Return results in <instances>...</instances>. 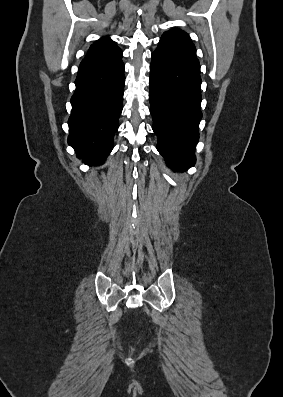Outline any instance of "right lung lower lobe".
I'll use <instances>...</instances> for the list:
<instances>
[{
    "instance_id": "98d812e1",
    "label": "right lung lower lobe",
    "mask_w": 283,
    "mask_h": 397,
    "mask_svg": "<svg viewBox=\"0 0 283 397\" xmlns=\"http://www.w3.org/2000/svg\"><path fill=\"white\" fill-rule=\"evenodd\" d=\"M121 57L79 68L71 97L68 143L86 163L101 164L113 149L124 94Z\"/></svg>"
}]
</instances>
